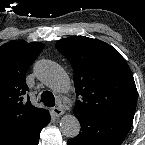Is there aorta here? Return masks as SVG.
I'll list each match as a JSON object with an SVG mask.
<instances>
[{
	"label": "aorta",
	"instance_id": "1",
	"mask_svg": "<svg viewBox=\"0 0 145 145\" xmlns=\"http://www.w3.org/2000/svg\"><path fill=\"white\" fill-rule=\"evenodd\" d=\"M37 78L57 93L67 92L69 79L62 68L53 61L41 60L35 65ZM80 122L72 114L64 115L60 120V130L67 138H74L80 132Z\"/></svg>",
	"mask_w": 145,
	"mask_h": 145
}]
</instances>
